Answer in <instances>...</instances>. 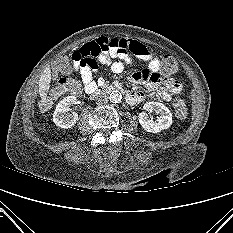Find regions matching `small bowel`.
I'll use <instances>...</instances> for the list:
<instances>
[{
  "mask_svg": "<svg viewBox=\"0 0 233 233\" xmlns=\"http://www.w3.org/2000/svg\"><path fill=\"white\" fill-rule=\"evenodd\" d=\"M130 53L147 63L146 68L129 75L130 81L154 90L157 98L164 101H169L173 95L181 92L182 86L177 80L162 78L160 59L156 54L135 40L101 37L85 43L72 54L73 69L80 74L86 92L92 93L104 83L102 78H94L98 69L97 61L109 67L113 73L119 74L124 71L125 66L132 64L133 58ZM144 97V93L132 91L127 100L131 104H136L143 101Z\"/></svg>",
  "mask_w": 233,
  "mask_h": 233,
  "instance_id": "obj_1",
  "label": "small bowel"
}]
</instances>
